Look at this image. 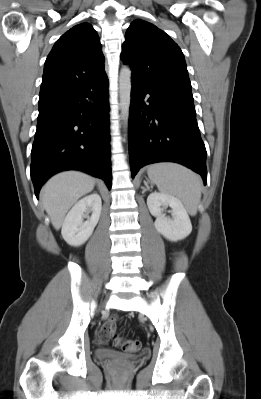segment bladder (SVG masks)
I'll list each match as a JSON object with an SVG mask.
<instances>
[{
    "label": "bladder",
    "mask_w": 261,
    "mask_h": 399,
    "mask_svg": "<svg viewBox=\"0 0 261 399\" xmlns=\"http://www.w3.org/2000/svg\"><path fill=\"white\" fill-rule=\"evenodd\" d=\"M95 356L101 360H126L132 359V355L122 354L110 349H97L95 351Z\"/></svg>",
    "instance_id": "31cf9c89"
}]
</instances>
